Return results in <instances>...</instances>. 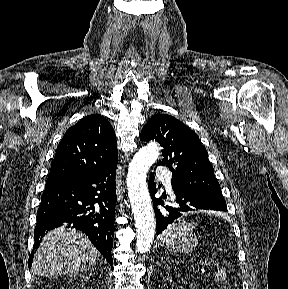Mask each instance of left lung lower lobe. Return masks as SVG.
Returning a JSON list of instances; mask_svg holds the SVG:
<instances>
[{"label": "left lung lower lobe", "mask_w": 288, "mask_h": 289, "mask_svg": "<svg viewBox=\"0 0 288 289\" xmlns=\"http://www.w3.org/2000/svg\"><path fill=\"white\" fill-rule=\"evenodd\" d=\"M155 186L154 175L152 174L148 182V187L154 204L157 235L164 231L169 224L173 223L175 219L182 216L187 211H192L195 209H206L222 212L226 211V204L211 199L208 196L197 194L195 192L174 189L176 204L171 206L164 205L162 202V197L156 199L153 196V194L156 192ZM158 204L162 206L161 210L157 207Z\"/></svg>", "instance_id": "obj_1"}]
</instances>
